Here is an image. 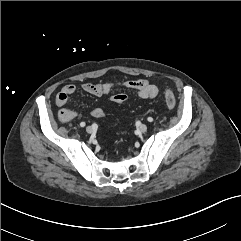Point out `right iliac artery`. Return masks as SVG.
Returning a JSON list of instances; mask_svg holds the SVG:
<instances>
[{
    "label": "right iliac artery",
    "mask_w": 241,
    "mask_h": 241,
    "mask_svg": "<svg viewBox=\"0 0 241 241\" xmlns=\"http://www.w3.org/2000/svg\"><path fill=\"white\" fill-rule=\"evenodd\" d=\"M85 125H86L85 122H81V123H80V126H81V127H84Z\"/></svg>",
    "instance_id": "1"
}]
</instances>
